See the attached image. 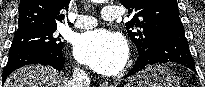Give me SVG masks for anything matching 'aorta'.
Instances as JSON below:
<instances>
[{
    "mask_svg": "<svg viewBox=\"0 0 205 87\" xmlns=\"http://www.w3.org/2000/svg\"><path fill=\"white\" fill-rule=\"evenodd\" d=\"M104 0H92L94 3H102Z\"/></svg>",
    "mask_w": 205,
    "mask_h": 87,
    "instance_id": "1",
    "label": "aorta"
}]
</instances>
